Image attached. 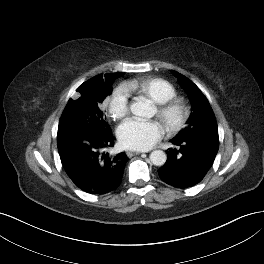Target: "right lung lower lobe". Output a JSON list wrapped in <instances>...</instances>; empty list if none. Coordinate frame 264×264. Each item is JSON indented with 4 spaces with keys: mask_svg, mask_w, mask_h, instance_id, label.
<instances>
[{
    "mask_svg": "<svg viewBox=\"0 0 264 264\" xmlns=\"http://www.w3.org/2000/svg\"><path fill=\"white\" fill-rule=\"evenodd\" d=\"M62 165L74 184L90 194H105L116 189L128 160L124 152L110 155L114 146L112 131L89 127L57 138Z\"/></svg>",
    "mask_w": 264,
    "mask_h": 264,
    "instance_id": "98d812e1",
    "label": "right lung lower lobe"
}]
</instances>
